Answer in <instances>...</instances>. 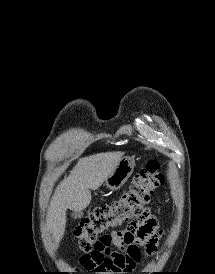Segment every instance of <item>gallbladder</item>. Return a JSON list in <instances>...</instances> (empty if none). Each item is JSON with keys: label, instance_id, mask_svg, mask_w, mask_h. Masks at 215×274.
Returning <instances> with one entry per match:
<instances>
[{"label": "gallbladder", "instance_id": "obj_1", "mask_svg": "<svg viewBox=\"0 0 215 274\" xmlns=\"http://www.w3.org/2000/svg\"><path fill=\"white\" fill-rule=\"evenodd\" d=\"M71 216L74 219H80L83 216V212L82 211H72Z\"/></svg>", "mask_w": 215, "mask_h": 274}]
</instances>
